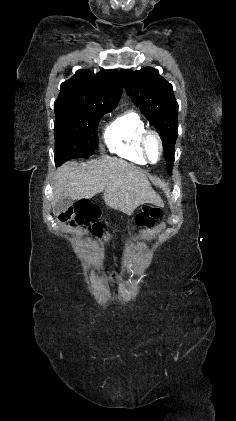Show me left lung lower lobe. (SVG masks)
Here are the masks:
<instances>
[{
  "label": "left lung lower lobe",
  "instance_id": "1",
  "mask_svg": "<svg viewBox=\"0 0 236 421\" xmlns=\"http://www.w3.org/2000/svg\"><path fill=\"white\" fill-rule=\"evenodd\" d=\"M166 166H167V169H168V174H169V175H172V166H173V165H172V164H168V163H167V164H166Z\"/></svg>",
  "mask_w": 236,
  "mask_h": 421
}]
</instances>
